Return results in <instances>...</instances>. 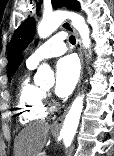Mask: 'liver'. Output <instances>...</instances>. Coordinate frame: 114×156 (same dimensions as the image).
<instances>
[{
    "label": "liver",
    "instance_id": "1",
    "mask_svg": "<svg viewBox=\"0 0 114 156\" xmlns=\"http://www.w3.org/2000/svg\"><path fill=\"white\" fill-rule=\"evenodd\" d=\"M50 129L51 125L45 121L27 125L15 140L14 156H39Z\"/></svg>",
    "mask_w": 114,
    "mask_h": 156
}]
</instances>
